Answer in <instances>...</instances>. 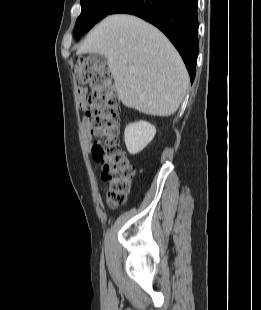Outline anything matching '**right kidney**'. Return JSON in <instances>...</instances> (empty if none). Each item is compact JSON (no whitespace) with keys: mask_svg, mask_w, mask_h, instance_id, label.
I'll list each match as a JSON object with an SVG mask.
<instances>
[{"mask_svg":"<svg viewBox=\"0 0 261 310\" xmlns=\"http://www.w3.org/2000/svg\"><path fill=\"white\" fill-rule=\"evenodd\" d=\"M155 126L146 121L129 124L124 131V141L130 154L141 152L154 138Z\"/></svg>","mask_w":261,"mask_h":310,"instance_id":"ca27d5eb","label":"right kidney"}]
</instances>
